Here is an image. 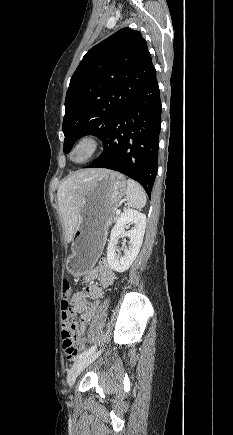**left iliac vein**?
<instances>
[{
  "label": "left iliac vein",
  "instance_id": "obj_1",
  "mask_svg": "<svg viewBox=\"0 0 233 435\" xmlns=\"http://www.w3.org/2000/svg\"><path fill=\"white\" fill-rule=\"evenodd\" d=\"M99 353H92L90 355L79 358L71 366L67 374V382L70 387H72L76 381L77 376L85 369L90 363H92Z\"/></svg>",
  "mask_w": 233,
  "mask_h": 435
}]
</instances>
